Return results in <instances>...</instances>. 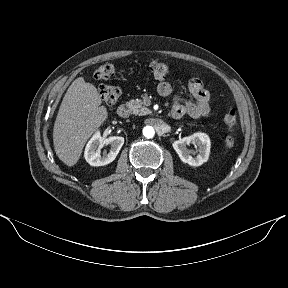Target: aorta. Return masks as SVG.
<instances>
[{"label": "aorta", "instance_id": "aorta-1", "mask_svg": "<svg viewBox=\"0 0 288 288\" xmlns=\"http://www.w3.org/2000/svg\"><path fill=\"white\" fill-rule=\"evenodd\" d=\"M143 135L147 138H152L155 135V130L152 126H146L143 129Z\"/></svg>", "mask_w": 288, "mask_h": 288}]
</instances>
